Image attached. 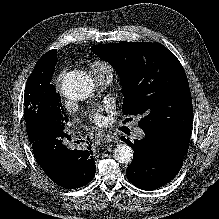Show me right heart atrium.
I'll return each mask as SVG.
<instances>
[{
    "label": "right heart atrium",
    "instance_id": "right-heart-atrium-1",
    "mask_svg": "<svg viewBox=\"0 0 219 219\" xmlns=\"http://www.w3.org/2000/svg\"><path fill=\"white\" fill-rule=\"evenodd\" d=\"M62 78H63V73H60L59 76H58V79H57L58 82H60L62 80Z\"/></svg>",
    "mask_w": 219,
    "mask_h": 219
}]
</instances>
